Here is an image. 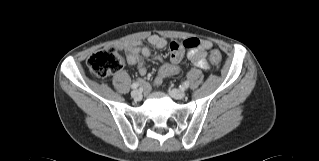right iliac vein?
<instances>
[{
	"mask_svg": "<svg viewBox=\"0 0 319 161\" xmlns=\"http://www.w3.org/2000/svg\"><path fill=\"white\" fill-rule=\"evenodd\" d=\"M131 96L135 100H139L141 98V92L139 90H134V91L131 92Z\"/></svg>",
	"mask_w": 319,
	"mask_h": 161,
	"instance_id": "63e3f726",
	"label": "right iliac vein"
}]
</instances>
